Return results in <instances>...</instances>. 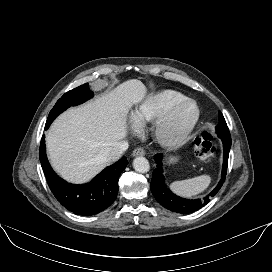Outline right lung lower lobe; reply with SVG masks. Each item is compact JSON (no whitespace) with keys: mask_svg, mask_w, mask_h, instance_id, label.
I'll list each match as a JSON object with an SVG mask.
<instances>
[{"mask_svg":"<svg viewBox=\"0 0 272 272\" xmlns=\"http://www.w3.org/2000/svg\"><path fill=\"white\" fill-rule=\"evenodd\" d=\"M49 126L45 125V129ZM39 157L50 190L55 198L69 211L91 216L109 207L117 197L118 179L128 164L126 157L105 168L90 183L70 184L58 177L51 168L45 148V135L40 143Z\"/></svg>","mask_w":272,"mask_h":272,"instance_id":"98d812e1","label":"right lung lower lobe"}]
</instances>
